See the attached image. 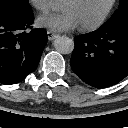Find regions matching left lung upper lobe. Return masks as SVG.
Instances as JSON below:
<instances>
[{
	"mask_svg": "<svg viewBox=\"0 0 128 128\" xmlns=\"http://www.w3.org/2000/svg\"><path fill=\"white\" fill-rule=\"evenodd\" d=\"M124 18H128V0H120L118 10L104 25L119 21Z\"/></svg>",
	"mask_w": 128,
	"mask_h": 128,
	"instance_id": "5c2ea615",
	"label": "left lung upper lobe"
}]
</instances>
